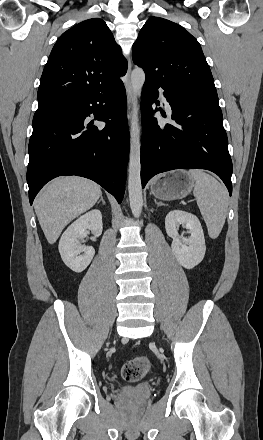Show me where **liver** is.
<instances>
[{"label": "liver", "mask_w": 263, "mask_h": 440, "mask_svg": "<svg viewBox=\"0 0 263 440\" xmlns=\"http://www.w3.org/2000/svg\"><path fill=\"white\" fill-rule=\"evenodd\" d=\"M101 196L100 186L82 177H59L44 187L34 208L47 241L55 243L65 226Z\"/></svg>", "instance_id": "1"}]
</instances>
